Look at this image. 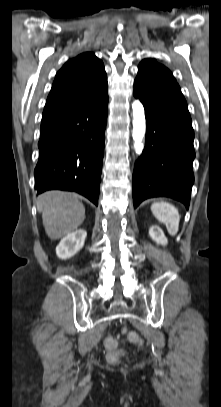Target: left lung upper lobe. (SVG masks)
<instances>
[{"label":"left lung upper lobe","mask_w":221,"mask_h":407,"mask_svg":"<svg viewBox=\"0 0 221 407\" xmlns=\"http://www.w3.org/2000/svg\"><path fill=\"white\" fill-rule=\"evenodd\" d=\"M135 81L151 86H179L172 73L155 59H145L139 64Z\"/></svg>","instance_id":"obj_1"}]
</instances>
